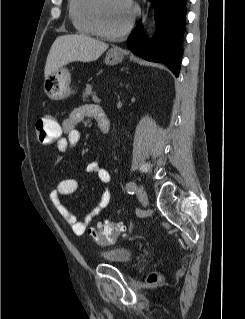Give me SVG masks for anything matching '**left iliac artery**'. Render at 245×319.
Wrapping results in <instances>:
<instances>
[{
  "instance_id": "1",
  "label": "left iliac artery",
  "mask_w": 245,
  "mask_h": 319,
  "mask_svg": "<svg viewBox=\"0 0 245 319\" xmlns=\"http://www.w3.org/2000/svg\"><path fill=\"white\" fill-rule=\"evenodd\" d=\"M126 189H127V192L129 194H134L135 190H136V184L134 182H128L126 184Z\"/></svg>"
}]
</instances>
